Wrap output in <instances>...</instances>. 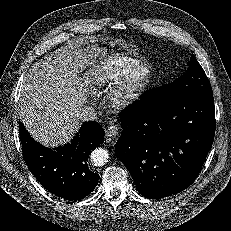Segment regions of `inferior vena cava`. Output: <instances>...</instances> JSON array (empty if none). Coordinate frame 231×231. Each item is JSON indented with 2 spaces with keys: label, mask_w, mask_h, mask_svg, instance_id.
Wrapping results in <instances>:
<instances>
[{
  "label": "inferior vena cava",
  "mask_w": 231,
  "mask_h": 231,
  "mask_svg": "<svg viewBox=\"0 0 231 231\" xmlns=\"http://www.w3.org/2000/svg\"><path fill=\"white\" fill-rule=\"evenodd\" d=\"M96 110L92 106H84L77 112V118L82 121H93L96 119Z\"/></svg>",
  "instance_id": "1"
}]
</instances>
